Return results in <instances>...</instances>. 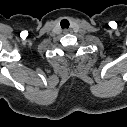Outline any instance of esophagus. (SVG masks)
I'll use <instances>...</instances> for the list:
<instances>
[{
	"label": "esophagus",
	"mask_w": 127,
	"mask_h": 127,
	"mask_svg": "<svg viewBox=\"0 0 127 127\" xmlns=\"http://www.w3.org/2000/svg\"><path fill=\"white\" fill-rule=\"evenodd\" d=\"M72 31L70 29H65L64 30V34H68V33H71Z\"/></svg>",
	"instance_id": "34e87169"
}]
</instances>
